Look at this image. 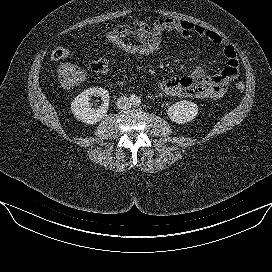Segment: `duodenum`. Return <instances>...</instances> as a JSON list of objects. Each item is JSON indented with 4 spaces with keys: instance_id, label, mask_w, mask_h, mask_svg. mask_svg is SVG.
Listing matches in <instances>:
<instances>
[{
    "instance_id": "410a0bca",
    "label": "duodenum",
    "mask_w": 272,
    "mask_h": 272,
    "mask_svg": "<svg viewBox=\"0 0 272 272\" xmlns=\"http://www.w3.org/2000/svg\"><path fill=\"white\" fill-rule=\"evenodd\" d=\"M126 79H124V78H121L120 79V82L122 83V82H124Z\"/></svg>"
}]
</instances>
